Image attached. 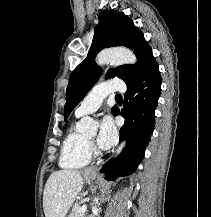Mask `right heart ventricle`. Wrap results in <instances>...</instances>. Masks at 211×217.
Listing matches in <instances>:
<instances>
[{"label": "right heart ventricle", "mask_w": 211, "mask_h": 217, "mask_svg": "<svg viewBox=\"0 0 211 217\" xmlns=\"http://www.w3.org/2000/svg\"><path fill=\"white\" fill-rule=\"evenodd\" d=\"M90 160L91 152L86 137L72 125L62 142L59 165L65 169H79L88 165Z\"/></svg>", "instance_id": "1"}]
</instances>
